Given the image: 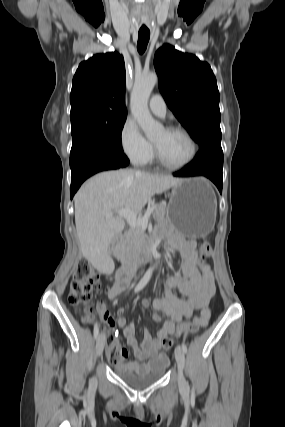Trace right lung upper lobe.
<instances>
[{
	"instance_id": "1",
	"label": "right lung upper lobe",
	"mask_w": 285,
	"mask_h": 427,
	"mask_svg": "<svg viewBox=\"0 0 285 427\" xmlns=\"http://www.w3.org/2000/svg\"><path fill=\"white\" fill-rule=\"evenodd\" d=\"M125 64L117 52L96 54L82 62L73 78L71 113L127 114Z\"/></svg>"
}]
</instances>
